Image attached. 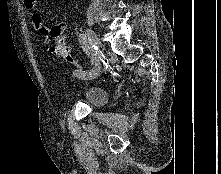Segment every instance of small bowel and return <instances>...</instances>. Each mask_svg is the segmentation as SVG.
I'll list each match as a JSON object with an SVG mask.
<instances>
[{"label":"small bowel","instance_id":"small-bowel-1","mask_svg":"<svg viewBox=\"0 0 221 174\" xmlns=\"http://www.w3.org/2000/svg\"><path fill=\"white\" fill-rule=\"evenodd\" d=\"M25 3L27 5L29 16H30L33 27L38 32H41L42 29L45 27V25L43 23V20H42L41 14H40L38 0H25ZM66 25L67 24L65 21H60L56 25H54L53 27L58 29L61 33H63V31L66 28ZM50 51L53 52L52 49H50Z\"/></svg>","mask_w":221,"mask_h":174}]
</instances>
